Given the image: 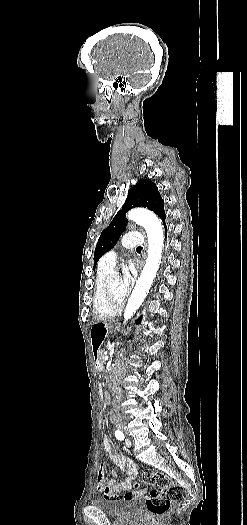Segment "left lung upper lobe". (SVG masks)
<instances>
[{"label":"left lung upper lobe","instance_id":"1","mask_svg":"<svg viewBox=\"0 0 247 525\" xmlns=\"http://www.w3.org/2000/svg\"><path fill=\"white\" fill-rule=\"evenodd\" d=\"M135 207H147L162 220L166 217L163 199L156 184L149 179H140L129 191L122 210L115 215L109 226L102 231L94 253V268L99 258L116 245L128 223L125 214Z\"/></svg>","mask_w":247,"mask_h":525}]
</instances>
